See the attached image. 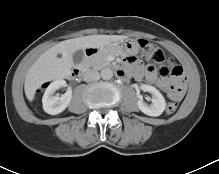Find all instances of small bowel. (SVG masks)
Here are the masks:
<instances>
[{
    "label": "small bowel",
    "mask_w": 219,
    "mask_h": 174,
    "mask_svg": "<svg viewBox=\"0 0 219 174\" xmlns=\"http://www.w3.org/2000/svg\"><path fill=\"white\" fill-rule=\"evenodd\" d=\"M175 67L176 65H172ZM142 68L136 64L133 57H128L124 60L123 65L119 68L118 74L125 77L129 74H134L135 77H142ZM147 80L151 83H157L163 88V93L170 101H179L185 92L186 82L184 75L181 78L171 77V79H158L152 69L146 73Z\"/></svg>",
    "instance_id": "1"
}]
</instances>
